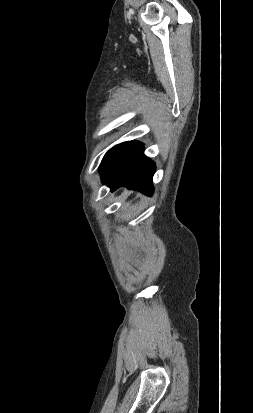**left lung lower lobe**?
I'll return each instance as SVG.
<instances>
[{"mask_svg": "<svg viewBox=\"0 0 253 413\" xmlns=\"http://www.w3.org/2000/svg\"><path fill=\"white\" fill-rule=\"evenodd\" d=\"M155 164L144 155L141 144L135 141L122 143L117 151L100 168L102 182L115 190L121 186L152 195V177Z\"/></svg>", "mask_w": 253, "mask_h": 413, "instance_id": "0a47b994", "label": "left lung lower lobe"}]
</instances>
